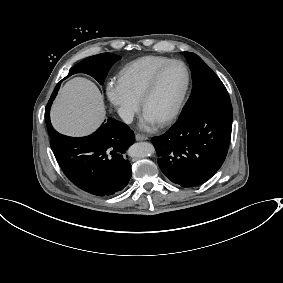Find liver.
I'll use <instances>...</instances> for the list:
<instances>
[{
    "instance_id": "6515ba94",
    "label": "liver",
    "mask_w": 283,
    "mask_h": 283,
    "mask_svg": "<svg viewBox=\"0 0 283 283\" xmlns=\"http://www.w3.org/2000/svg\"><path fill=\"white\" fill-rule=\"evenodd\" d=\"M103 113V96L94 83L84 78H74L60 89L51 112L55 128L71 136L91 132Z\"/></svg>"
}]
</instances>
